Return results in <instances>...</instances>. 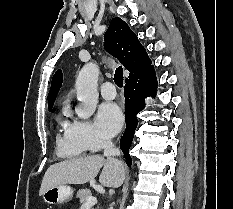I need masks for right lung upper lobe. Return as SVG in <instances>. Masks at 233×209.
Returning a JSON list of instances; mask_svg holds the SVG:
<instances>
[{"mask_svg":"<svg viewBox=\"0 0 233 209\" xmlns=\"http://www.w3.org/2000/svg\"><path fill=\"white\" fill-rule=\"evenodd\" d=\"M104 40L105 49L129 70L130 74L125 80L126 82L139 77L153 67L146 50L140 44L137 36L121 18L116 17L110 22L109 28L104 35ZM62 81L61 70H58L52 78L51 88L48 93L49 109L54 104Z\"/></svg>","mask_w":233,"mask_h":209,"instance_id":"cb5924a9","label":"right lung upper lobe"}]
</instances>
